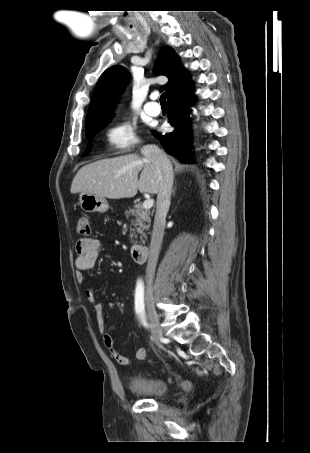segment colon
Segmentation results:
<instances>
[{"mask_svg":"<svg viewBox=\"0 0 310 453\" xmlns=\"http://www.w3.org/2000/svg\"><path fill=\"white\" fill-rule=\"evenodd\" d=\"M76 232L79 235H88L90 233V223L87 216H81L77 221Z\"/></svg>","mask_w":310,"mask_h":453,"instance_id":"5ec220e1","label":"colon"}]
</instances>
